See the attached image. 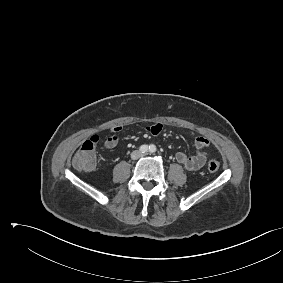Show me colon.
Listing matches in <instances>:
<instances>
[{"mask_svg":"<svg viewBox=\"0 0 283 283\" xmlns=\"http://www.w3.org/2000/svg\"><path fill=\"white\" fill-rule=\"evenodd\" d=\"M99 141L98 136H92L85 141L73 157L72 164L79 171H91L95 167V148ZM220 167L219 161L210 159L207 168L210 172H216Z\"/></svg>","mask_w":283,"mask_h":283,"instance_id":"colon-1","label":"colon"}]
</instances>
